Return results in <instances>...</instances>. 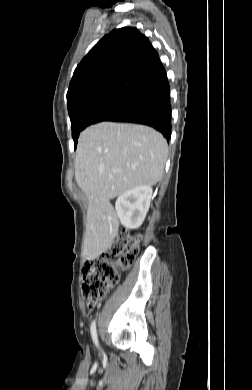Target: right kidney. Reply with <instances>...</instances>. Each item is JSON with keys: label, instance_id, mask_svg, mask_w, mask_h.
I'll list each match as a JSON object with an SVG mask.
<instances>
[{"label": "right kidney", "instance_id": "right-kidney-1", "mask_svg": "<svg viewBox=\"0 0 252 390\" xmlns=\"http://www.w3.org/2000/svg\"><path fill=\"white\" fill-rule=\"evenodd\" d=\"M152 187L142 185L121 194L115 203V210L121 224L127 229L140 227L149 210Z\"/></svg>", "mask_w": 252, "mask_h": 390}]
</instances>
